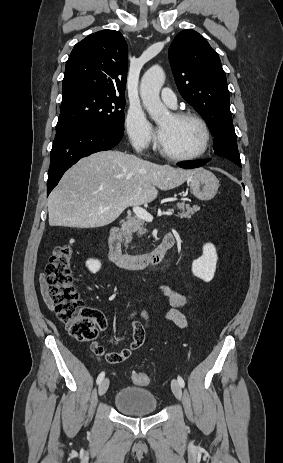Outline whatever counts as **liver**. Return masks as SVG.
Masks as SVG:
<instances>
[{
    "label": "liver",
    "mask_w": 283,
    "mask_h": 463,
    "mask_svg": "<svg viewBox=\"0 0 283 463\" xmlns=\"http://www.w3.org/2000/svg\"><path fill=\"white\" fill-rule=\"evenodd\" d=\"M197 171L158 165L120 151L94 153L71 167L50 193L49 225H108L127 207L152 202L158 189L176 188Z\"/></svg>",
    "instance_id": "6515ba94"
}]
</instances>
